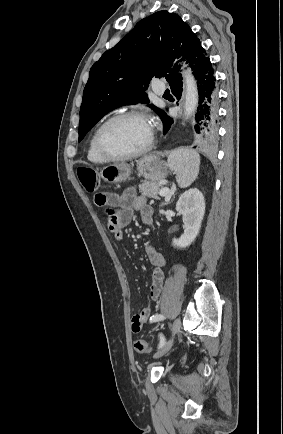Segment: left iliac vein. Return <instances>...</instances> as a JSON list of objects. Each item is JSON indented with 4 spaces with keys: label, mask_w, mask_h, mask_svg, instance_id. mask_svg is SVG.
<instances>
[{
    "label": "left iliac vein",
    "mask_w": 283,
    "mask_h": 434,
    "mask_svg": "<svg viewBox=\"0 0 283 434\" xmlns=\"http://www.w3.org/2000/svg\"><path fill=\"white\" fill-rule=\"evenodd\" d=\"M180 328H181V319L177 318V319H175V321L173 323V326H172V337H171V339L165 344V346L161 350H159L157 353L154 354L153 357L155 359L163 356L164 354H166L170 350V348L173 345L174 337L179 333Z\"/></svg>",
    "instance_id": "obj_1"
}]
</instances>
